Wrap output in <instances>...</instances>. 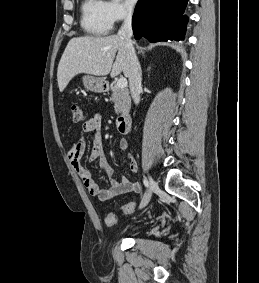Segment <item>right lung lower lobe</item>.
Returning a JSON list of instances; mask_svg holds the SVG:
<instances>
[{"mask_svg":"<svg viewBox=\"0 0 259 283\" xmlns=\"http://www.w3.org/2000/svg\"><path fill=\"white\" fill-rule=\"evenodd\" d=\"M188 0H139L132 18L135 39L150 42L182 40L187 17L183 15Z\"/></svg>","mask_w":259,"mask_h":283,"instance_id":"obj_1","label":"right lung lower lobe"}]
</instances>
